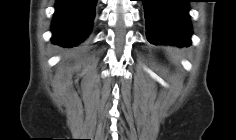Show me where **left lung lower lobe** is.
I'll list each match as a JSON object with an SVG mask.
<instances>
[{
	"instance_id": "1",
	"label": "left lung lower lobe",
	"mask_w": 236,
	"mask_h": 140,
	"mask_svg": "<svg viewBox=\"0 0 236 140\" xmlns=\"http://www.w3.org/2000/svg\"><path fill=\"white\" fill-rule=\"evenodd\" d=\"M146 36L152 44L189 47L191 44L190 0H142Z\"/></svg>"
}]
</instances>
